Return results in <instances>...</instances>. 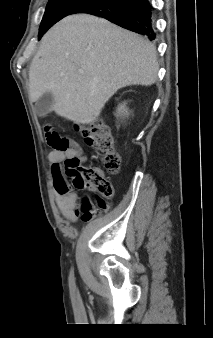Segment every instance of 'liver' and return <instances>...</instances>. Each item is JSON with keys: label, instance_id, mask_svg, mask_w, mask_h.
Segmentation results:
<instances>
[{"label": "liver", "instance_id": "1", "mask_svg": "<svg viewBox=\"0 0 213 338\" xmlns=\"http://www.w3.org/2000/svg\"><path fill=\"white\" fill-rule=\"evenodd\" d=\"M158 70L156 47L148 40L93 15H70L41 40L29 70L30 99L50 92V110L91 124L119 89L150 86Z\"/></svg>", "mask_w": 213, "mask_h": 338}]
</instances>
